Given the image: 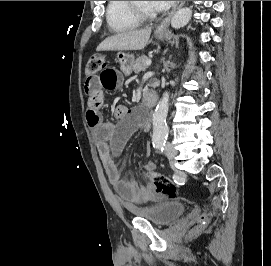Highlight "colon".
Wrapping results in <instances>:
<instances>
[{"label": "colon", "mask_w": 271, "mask_h": 266, "mask_svg": "<svg viewBox=\"0 0 271 266\" xmlns=\"http://www.w3.org/2000/svg\"><path fill=\"white\" fill-rule=\"evenodd\" d=\"M106 64V61L101 55H93L90 57L85 72L88 76L97 74ZM143 175L151 182L156 192L166 195L170 198H175L178 194L175 184L166 176L155 171L143 170ZM201 225L192 231V235H197L201 232L203 225L207 222V215L203 214L200 217Z\"/></svg>", "instance_id": "1"}]
</instances>
